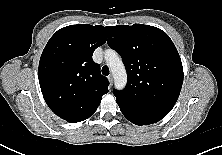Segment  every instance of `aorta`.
Instances as JSON below:
<instances>
[{
    "instance_id": "obj_1",
    "label": "aorta",
    "mask_w": 222,
    "mask_h": 155,
    "mask_svg": "<svg viewBox=\"0 0 222 155\" xmlns=\"http://www.w3.org/2000/svg\"><path fill=\"white\" fill-rule=\"evenodd\" d=\"M105 59L113 74L115 87L117 89H123L127 82V74L121 58L115 51L107 50L105 52Z\"/></svg>"
}]
</instances>
